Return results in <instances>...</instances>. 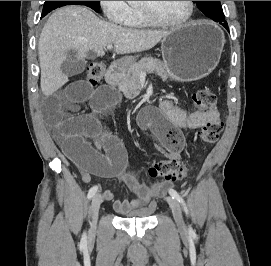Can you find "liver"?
<instances>
[{
    "instance_id": "liver-1",
    "label": "liver",
    "mask_w": 271,
    "mask_h": 266,
    "mask_svg": "<svg viewBox=\"0 0 271 266\" xmlns=\"http://www.w3.org/2000/svg\"><path fill=\"white\" fill-rule=\"evenodd\" d=\"M169 32L124 28L99 19L83 6L58 9L47 20L39 38L41 90L49 96L68 82L61 65L70 50L80 58L90 52L103 56L108 45H114L117 54L141 52L156 46Z\"/></svg>"
}]
</instances>
